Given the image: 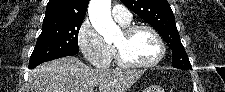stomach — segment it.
Instances as JSON below:
<instances>
[{
  "mask_svg": "<svg viewBox=\"0 0 225 92\" xmlns=\"http://www.w3.org/2000/svg\"><path fill=\"white\" fill-rule=\"evenodd\" d=\"M143 92H164L160 87L146 88Z\"/></svg>",
  "mask_w": 225,
  "mask_h": 92,
  "instance_id": "1",
  "label": "stomach"
}]
</instances>
